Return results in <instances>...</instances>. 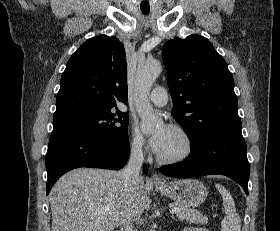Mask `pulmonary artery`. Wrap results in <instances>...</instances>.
Returning <instances> with one entry per match:
<instances>
[{"label":"pulmonary artery","mask_w":280,"mask_h":231,"mask_svg":"<svg viewBox=\"0 0 280 231\" xmlns=\"http://www.w3.org/2000/svg\"><path fill=\"white\" fill-rule=\"evenodd\" d=\"M149 99L156 106L163 107L168 102V93L164 87H156L150 93Z\"/></svg>","instance_id":"e3ab8cb5"}]
</instances>
